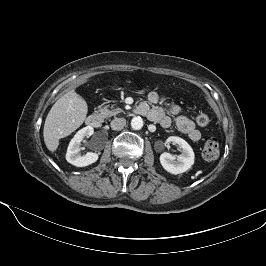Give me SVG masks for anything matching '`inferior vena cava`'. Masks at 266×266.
<instances>
[{"label": "inferior vena cava", "mask_w": 266, "mask_h": 266, "mask_svg": "<svg viewBox=\"0 0 266 266\" xmlns=\"http://www.w3.org/2000/svg\"><path fill=\"white\" fill-rule=\"evenodd\" d=\"M126 125V120L124 118H114L111 121V128L113 130H121Z\"/></svg>", "instance_id": "inferior-vena-cava-1"}]
</instances>
